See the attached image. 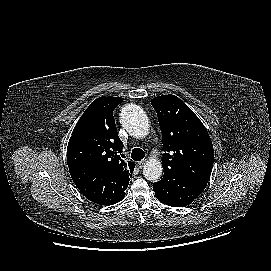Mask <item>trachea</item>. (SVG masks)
<instances>
[{"mask_svg":"<svg viewBox=\"0 0 271 271\" xmlns=\"http://www.w3.org/2000/svg\"><path fill=\"white\" fill-rule=\"evenodd\" d=\"M145 157V153L140 148H134L131 152V158L135 161H141Z\"/></svg>","mask_w":271,"mask_h":271,"instance_id":"obj_1","label":"trachea"}]
</instances>
